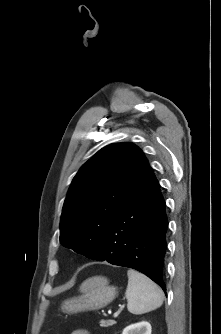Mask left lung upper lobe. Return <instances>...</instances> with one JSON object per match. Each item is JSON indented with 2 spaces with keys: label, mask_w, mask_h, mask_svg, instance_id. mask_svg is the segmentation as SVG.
<instances>
[{
  "label": "left lung upper lobe",
  "mask_w": 221,
  "mask_h": 334,
  "mask_svg": "<svg viewBox=\"0 0 221 334\" xmlns=\"http://www.w3.org/2000/svg\"><path fill=\"white\" fill-rule=\"evenodd\" d=\"M149 168L142 150L132 143L98 151L69 188L60 221L61 244L97 259L110 223Z\"/></svg>",
  "instance_id": "1"
}]
</instances>
